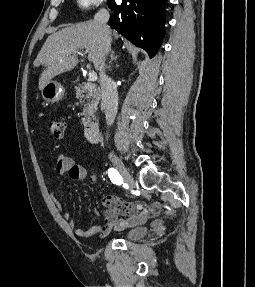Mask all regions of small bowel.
I'll use <instances>...</instances> for the list:
<instances>
[{
  "label": "small bowel",
  "instance_id": "small-bowel-1",
  "mask_svg": "<svg viewBox=\"0 0 255 287\" xmlns=\"http://www.w3.org/2000/svg\"><path fill=\"white\" fill-rule=\"evenodd\" d=\"M56 172L60 175H67L70 179L81 181L87 177V171L68 155H60L56 162ZM51 198L56 208L61 212L62 217L68 221L71 230L79 237L89 238L94 235L105 236L112 230L122 231L130 227L144 224L149 218L155 217L161 210L159 203H126L115 196H106L103 198V204L106 209L104 211V223L95 225L89 229H82L78 226L75 219L72 218L70 212L65 209L62 200L55 188L51 189ZM122 215L125 218L119 219ZM152 226L159 232L163 230V221L155 220Z\"/></svg>",
  "mask_w": 255,
  "mask_h": 287
}]
</instances>
